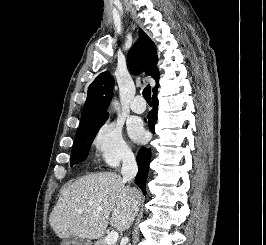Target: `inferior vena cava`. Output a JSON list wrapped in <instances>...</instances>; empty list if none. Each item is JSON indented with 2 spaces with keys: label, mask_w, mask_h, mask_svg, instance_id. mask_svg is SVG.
<instances>
[{
  "label": "inferior vena cava",
  "mask_w": 266,
  "mask_h": 245,
  "mask_svg": "<svg viewBox=\"0 0 266 245\" xmlns=\"http://www.w3.org/2000/svg\"><path fill=\"white\" fill-rule=\"evenodd\" d=\"M137 173L138 167L133 153H130V155H124L121 169L123 181H128V183H130V181L136 177Z\"/></svg>",
  "instance_id": "obj_1"
}]
</instances>
